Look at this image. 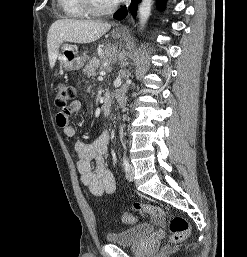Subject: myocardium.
<instances>
[{
    "mask_svg": "<svg viewBox=\"0 0 247 257\" xmlns=\"http://www.w3.org/2000/svg\"><path fill=\"white\" fill-rule=\"evenodd\" d=\"M83 9L92 16H102L112 12L119 4L113 1L105 7H99L94 0H80Z\"/></svg>",
    "mask_w": 247,
    "mask_h": 257,
    "instance_id": "obj_1",
    "label": "myocardium"
}]
</instances>
